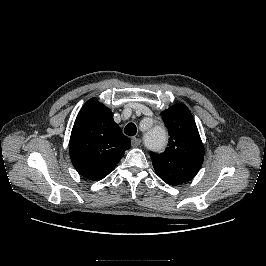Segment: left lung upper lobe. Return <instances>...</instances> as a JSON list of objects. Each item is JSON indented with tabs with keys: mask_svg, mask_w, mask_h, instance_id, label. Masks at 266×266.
Instances as JSON below:
<instances>
[{
	"mask_svg": "<svg viewBox=\"0 0 266 266\" xmlns=\"http://www.w3.org/2000/svg\"><path fill=\"white\" fill-rule=\"evenodd\" d=\"M169 132V144L161 154L150 152L158 176L169 185L183 184L200 170L204 146L190 110L177 103L162 112Z\"/></svg>",
	"mask_w": 266,
	"mask_h": 266,
	"instance_id": "left-lung-upper-lobe-1",
	"label": "left lung upper lobe"
}]
</instances>
